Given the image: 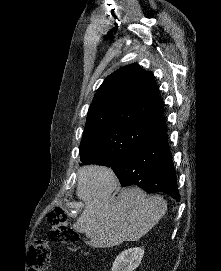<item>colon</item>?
<instances>
[{
	"mask_svg": "<svg viewBox=\"0 0 221 271\" xmlns=\"http://www.w3.org/2000/svg\"><path fill=\"white\" fill-rule=\"evenodd\" d=\"M47 221L50 225L49 236L54 242L72 244L79 239L78 232L69 225L68 215L65 209L53 207L47 213ZM51 259V250L44 240H38L30 247L27 255V263L30 271H47Z\"/></svg>",
	"mask_w": 221,
	"mask_h": 271,
	"instance_id": "obj_1",
	"label": "colon"
}]
</instances>
